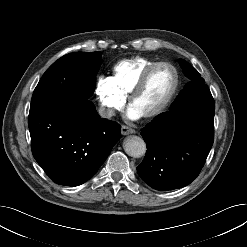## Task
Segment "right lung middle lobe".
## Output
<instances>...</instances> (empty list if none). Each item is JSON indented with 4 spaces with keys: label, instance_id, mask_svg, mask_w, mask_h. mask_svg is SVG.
Instances as JSON below:
<instances>
[{
    "label": "right lung middle lobe",
    "instance_id": "1",
    "mask_svg": "<svg viewBox=\"0 0 247 247\" xmlns=\"http://www.w3.org/2000/svg\"><path fill=\"white\" fill-rule=\"evenodd\" d=\"M100 64L101 52H75L61 57L43 74L34 90L30 110L52 99L69 104L88 100Z\"/></svg>",
    "mask_w": 247,
    "mask_h": 247
}]
</instances>
